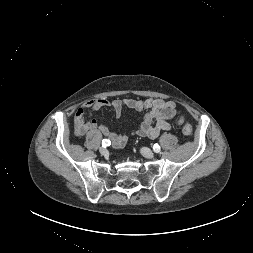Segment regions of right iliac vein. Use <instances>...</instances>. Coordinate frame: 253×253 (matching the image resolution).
I'll list each match as a JSON object with an SVG mask.
<instances>
[{"instance_id":"63e3f726","label":"right iliac vein","mask_w":253,"mask_h":253,"mask_svg":"<svg viewBox=\"0 0 253 253\" xmlns=\"http://www.w3.org/2000/svg\"><path fill=\"white\" fill-rule=\"evenodd\" d=\"M99 151H100L101 155H103V156L108 155V150L106 148L101 147Z\"/></svg>"}]
</instances>
